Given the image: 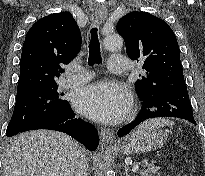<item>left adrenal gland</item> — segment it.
I'll return each mask as SVG.
<instances>
[{
	"label": "left adrenal gland",
	"mask_w": 205,
	"mask_h": 176,
	"mask_svg": "<svg viewBox=\"0 0 205 176\" xmlns=\"http://www.w3.org/2000/svg\"><path fill=\"white\" fill-rule=\"evenodd\" d=\"M125 176H130L129 173H128V168L125 167Z\"/></svg>",
	"instance_id": "obj_1"
}]
</instances>
